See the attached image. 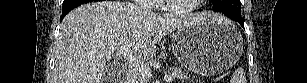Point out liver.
I'll use <instances>...</instances> for the list:
<instances>
[{"mask_svg": "<svg viewBox=\"0 0 307 83\" xmlns=\"http://www.w3.org/2000/svg\"><path fill=\"white\" fill-rule=\"evenodd\" d=\"M217 20L222 19L210 13L182 17L154 14L120 1L78 6L65 16L60 26L53 83H107L104 76L115 52L128 49L135 58L148 60L167 34L183 26ZM108 81L116 80L111 76Z\"/></svg>", "mask_w": 307, "mask_h": 83, "instance_id": "liver-1", "label": "liver"}]
</instances>
